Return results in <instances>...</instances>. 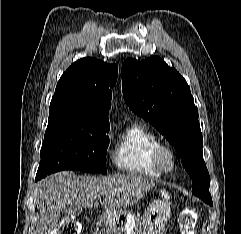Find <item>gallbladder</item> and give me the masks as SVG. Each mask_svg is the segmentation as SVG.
<instances>
[{"label":"gallbladder","instance_id":"bac80fb5","mask_svg":"<svg viewBox=\"0 0 241 234\" xmlns=\"http://www.w3.org/2000/svg\"><path fill=\"white\" fill-rule=\"evenodd\" d=\"M80 211H78L77 209H74V214L79 213Z\"/></svg>","mask_w":241,"mask_h":234}]
</instances>
